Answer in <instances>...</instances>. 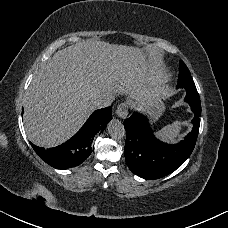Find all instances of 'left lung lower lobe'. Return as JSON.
I'll return each mask as SVG.
<instances>
[{
  "label": "left lung lower lobe",
  "mask_w": 228,
  "mask_h": 228,
  "mask_svg": "<svg viewBox=\"0 0 228 228\" xmlns=\"http://www.w3.org/2000/svg\"><path fill=\"white\" fill-rule=\"evenodd\" d=\"M185 101L193 113V129L178 144L169 145L155 138L147 118L138 112L124 121L125 160L129 169L144 179H158L180 167L191 155L199 132L201 103L196 87L186 86Z\"/></svg>",
  "instance_id": "0a47b994"
}]
</instances>
